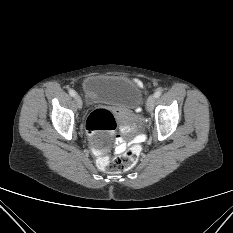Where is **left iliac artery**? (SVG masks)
I'll return each mask as SVG.
<instances>
[{
  "label": "left iliac artery",
  "instance_id": "obj_1",
  "mask_svg": "<svg viewBox=\"0 0 233 233\" xmlns=\"http://www.w3.org/2000/svg\"><path fill=\"white\" fill-rule=\"evenodd\" d=\"M161 94H162V90H161V89H158V90L154 93V96H155V98H158V97L161 96Z\"/></svg>",
  "mask_w": 233,
  "mask_h": 233
}]
</instances>
